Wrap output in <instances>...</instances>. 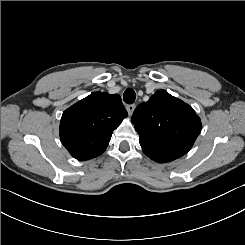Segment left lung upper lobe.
Wrapping results in <instances>:
<instances>
[{
  "instance_id": "1",
  "label": "left lung upper lobe",
  "mask_w": 245,
  "mask_h": 245,
  "mask_svg": "<svg viewBox=\"0 0 245 245\" xmlns=\"http://www.w3.org/2000/svg\"><path fill=\"white\" fill-rule=\"evenodd\" d=\"M132 123L143 152L156 162L186 154L201 131V121L191 106L165 90L137 106Z\"/></svg>"
}]
</instances>
